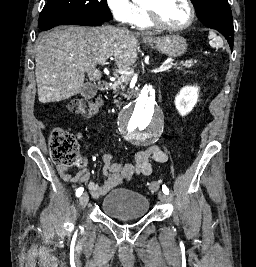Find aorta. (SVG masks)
I'll return each mask as SVG.
<instances>
[{"instance_id": "aorta-1", "label": "aorta", "mask_w": 256, "mask_h": 267, "mask_svg": "<svg viewBox=\"0 0 256 267\" xmlns=\"http://www.w3.org/2000/svg\"><path fill=\"white\" fill-rule=\"evenodd\" d=\"M156 93L145 89L138 101H131L125 108L124 117H118L119 127H161L165 117H161L162 108L154 104ZM130 143H160V128H121Z\"/></svg>"}]
</instances>
